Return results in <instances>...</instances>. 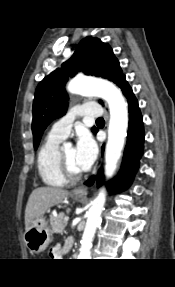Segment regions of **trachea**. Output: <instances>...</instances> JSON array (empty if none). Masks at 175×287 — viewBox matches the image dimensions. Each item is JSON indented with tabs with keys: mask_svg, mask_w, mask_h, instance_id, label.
I'll use <instances>...</instances> for the list:
<instances>
[{
	"mask_svg": "<svg viewBox=\"0 0 175 287\" xmlns=\"http://www.w3.org/2000/svg\"><path fill=\"white\" fill-rule=\"evenodd\" d=\"M96 122L97 123H104V119L101 117V118H98L97 120H96Z\"/></svg>",
	"mask_w": 175,
	"mask_h": 287,
	"instance_id": "1",
	"label": "trachea"
}]
</instances>
